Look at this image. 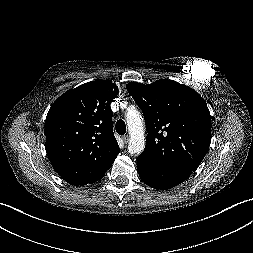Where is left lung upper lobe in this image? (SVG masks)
Instances as JSON below:
<instances>
[{"instance_id":"1","label":"left lung upper lobe","mask_w":253,"mask_h":253,"mask_svg":"<svg viewBox=\"0 0 253 253\" xmlns=\"http://www.w3.org/2000/svg\"><path fill=\"white\" fill-rule=\"evenodd\" d=\"M129 94L141 108L146 131L142 154L165 168L195 171L209 150L211 116L202 97L173 80L131 82Z\"/></svg>"}]
</instances>
